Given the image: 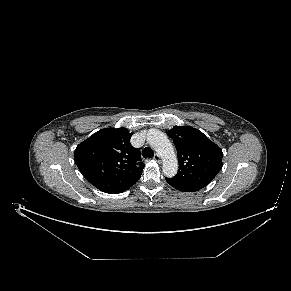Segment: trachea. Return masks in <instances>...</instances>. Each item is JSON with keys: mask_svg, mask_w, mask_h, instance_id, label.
I'll use <instances>...</instances> for the list:
<instances>
[{"mask_svg": "<svg viewBox=\"0 0 291 291\" xmlns=\"http://www.w3.org/2000/svg\"><path fill=\"white\" fill-rule=\"evenodd\" d=\"M154 156V152L152 151L151 148L146 147L143 150V157L144 158H152Z\"/></svg>", "mask_w": 291, "mask_h": 291, "instance_id": "1", "label": "trachea"}]
</instances>
